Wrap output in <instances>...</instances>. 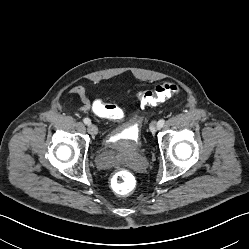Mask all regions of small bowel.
<instances>
[{
  "label": "small bowel",
  "instance_id": "obj_1",
  "mask_svg": "<svg viewBox=\"0 0 249 249\" xmlns=\"http://www.w3.org/2000/svg\"><path fill=\"white\" fill-rule=\"evenodd\" d=\"M69 93L79 97L80 106L77 109L79 112L92 111L98 117L114 120H120L123 117V112L119 107L105 103L100 99L90 100L83 86H73L69 89Z\"/></svg>",
  "mask_w": 249,
  "mask_h": 249
}]
</instances>
